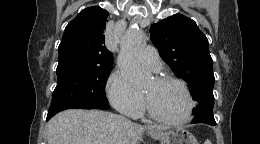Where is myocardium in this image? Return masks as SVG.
<instances>
[{"label": "myocardium", "instance_id": "myocardium-1", "mask_svg": "<svg viewBox=\"0 0 260 144\" xmlns=\"http://www.w3.org/2000/svg\"><path fill=\"white\" fill-rule=\"evenodd\" d=\"M153 81L156 84L173 83V84H177L178 86H180L186 94V97H187L188 102H189V107H188V112L183 119H169V118H166V117L160 115L159 113H157L154 110V108L152 107L148 98L143 94L144 103H145L148 115L152 119H154L158 122L169 124V125H184V124L190 122L192 117H193V112H194V108H195V101H194L192 93H191L188 85L186 84V82H184L183 80H181L179 78L171 77V76H158V77H155L153 79Z\"/></svg>", "mask_w": 260, "mask_h": 144}]
</instances>
